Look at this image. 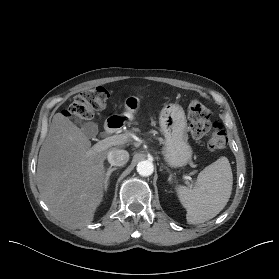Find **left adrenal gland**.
<instances>
[{"instance_id":"left-adrenal-gland-1","label":"left adrenal gland","mask_w":279,"mask_h":279,"mask_svg":"<svg viewBox=\"0 0 279 279\" xmlns=\"http://www.w3.org/2000/svg\"><path fill=\"white\" fill-rule=\"evenodd\" d=\"M172 177H173V174L171 173V174L169 175V178H168V181H169V182L172 181Z\"/></svg>"}]
</instances>
